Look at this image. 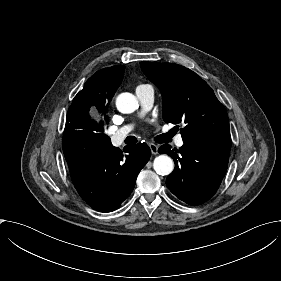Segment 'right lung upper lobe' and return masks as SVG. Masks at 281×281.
Listing matches in <instances>:
<instances>
[{
  "label": "right lung upper lobe",
  "mask_w": 281,
  "mask_h": 281,
  "mask_svg": "<svg viewBox=\"0 0 281 281\" xmlns=\"http://www.w3.org/2000/svg\"><path fill=\"white\" fill-rule=\"evenodd\" d=\"M124 65L104 68L91 76L68 110L65 132L103 131L108 124V106L122 82Z\"/></svg>",
  "instance_id": "1"
}]
</instances>
